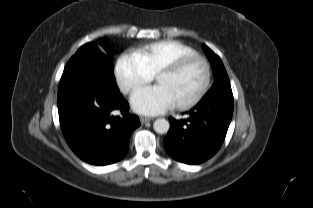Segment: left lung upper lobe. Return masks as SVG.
<instances>
[{"label": "left lung upper lobe", "mask_w": 313, "mask_h": 208, "mask_svg": "<svg viewBox=\"0 0 313 208\" xmlns=\"http://www.w3.org/2000/svg\"><path fill=\"white\" fill-rule=\"evenodd\" d=\"M203 49L211 63L212 70H213L214 77H215V81L211 89L208 91V93L204 97L217 95V94L232 95L230 81H229L227 72L225 70V67L221 59L212 50H210L205 44H203Z\"/></svg>", "instance_id": "obj_1"}]
</instances>
